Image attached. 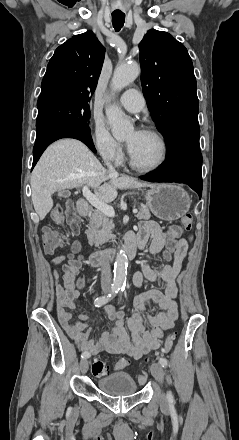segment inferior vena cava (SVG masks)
<instances>
[{
  "mask_svg": "<svg viewBox=\"0 0 239 440\" xmlns=\"http://www.w3.org/2000/svg\"><path fill=\"white\" fill-rule=\"evenodd\" d=\"M105 164L108 168V172H110V174H117V172H115V168H113L111 162H109V160H107V158H105ZM110 284H111V268H110V262L108 260V258H104L103 262H102V266H101V288H102V292H104V294H109L111 288H110Z\"/></svg>",
  "mask_w": 239,
  "mask_h": 440,
  "instance_id": "obj_1",
  "label": "inferior vena cava"
}]
</instances>
